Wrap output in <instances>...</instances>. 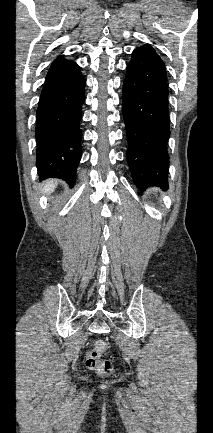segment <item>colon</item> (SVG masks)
<instances>
[{
	"label": "colon",
	"mask_w": 213,
	"mask_h": 433,
	"mask_svg": "<svg viewBox=\"0 0 213 433\" xmlns=\"http://www.w3.org/2000/svg\"><path fill=\"white\" fill-rule=\"evenodd\" d=\"M106 350V341L96 340L85 356L86 367L99 372H108L112 368L111 362L102 358Z\"/></svg>",
	"instance_id": "obj_1"
}]
</instances>
